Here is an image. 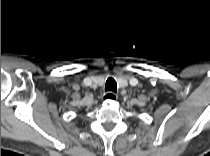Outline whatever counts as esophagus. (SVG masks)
I'll return each instance as SVG.
<instances>
[{"label":"esophagus","mask_w":210,"mask_h":156,"mask_svg":"<svg viewBox=\"0 0 210 156\" xmlns=\"http://www.w3.org/2000/svg\"><path fill=\"white\" fill-rule=\"evenodd\" d=\"M117 98H118L117 94L113 92H106L103 94L104 101L116 100Z\"/></svg>","instance_id":"esophagus-1"}]
</instances>
